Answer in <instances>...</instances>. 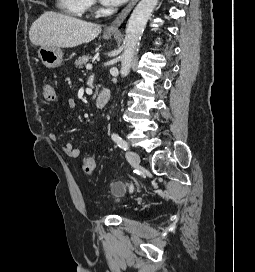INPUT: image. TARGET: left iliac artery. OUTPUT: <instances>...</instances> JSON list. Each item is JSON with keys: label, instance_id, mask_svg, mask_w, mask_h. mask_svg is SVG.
Returning <instances> with one entry per match:
<instances>
[{"label": "left iliac artery", "instance_id": "44dca946", "mask_svg": "<svg viewBox=\"0 0 255 272\" xmlns=\"http://www.w3.org/2000/svg\"><path fill=\"white\" fill-rule=\"evenodd\" d=\"M112 140L123 150L128 149V144L125 140H123L118 134H112ZM130 191H133V185H130Z\"/></svg>", "mask_w": 255, "mask_h": 272}]
</instances>
